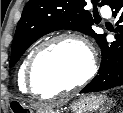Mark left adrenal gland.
<instances>
[{
  "mask_svg": "<svg viewBox=\"0 0 123 113\" xmlns=\"http://www.w3.org/2000/svg\"><path fill=\"white\" fill-rule=\"evenodd\" d=\"M112 103H113V102L111 101L108 106L111 107V104H112ZM113 105H115V104H113ZM109 107H106V108L103 107V108L101 109V110H103L102 113H106V112L108 111V109H110Z\"/></svg>",
  "mask_w": 123,
  "mask_h": 113,
  "instance_id": "a2214340",
  "label": "left adrenal gland"
}]
</instances>
